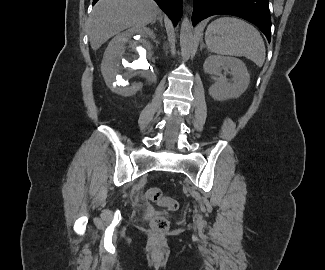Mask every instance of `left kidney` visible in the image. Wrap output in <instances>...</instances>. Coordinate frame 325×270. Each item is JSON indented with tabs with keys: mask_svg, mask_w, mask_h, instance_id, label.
<instances>
[{
	"mask_svg": "<svg viewBox=\"0 0 325 270\" xmlns=\"http://www.w3.org/2000/svg\"><path fill=\"white\" fill-rule=\"evenodd\" d=\"M203 69L206 73L212 75H219L222 69H229L233 76L231 81L219 77L209 88L210 96L217 101L240 97L250 83L246 65L240 59L234 57L211 55L205 60Z\"/></svg>",
	"mask_w": 325,
	"mask_h": 270,
	"instance_id": "obj_1",
	"label": "left kidney"
}]
</instances>
